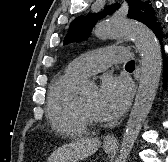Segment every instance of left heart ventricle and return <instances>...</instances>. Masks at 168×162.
I'll return each mask as SVG.
<instances>
[{"mask_svg":"<svg viewBox=\"0 0 168 162\" xmlns=\"http://www.w3.org/2000/svg\"><path fill=\"white\" fill-rule=\"evenodd\" d=\"M81 97L87 111L96 119H100L97 114V93L93 91L85 92Z\"/></svg>","mask_w":168,"mask_h":162,"instance_id":"1","label":"left heart ventricle"}]
</instances>
